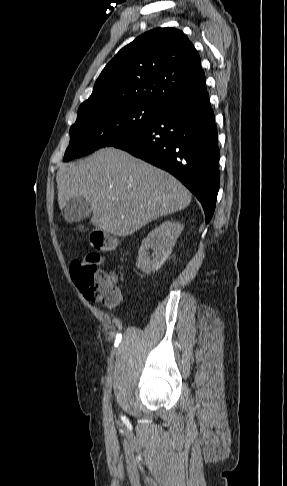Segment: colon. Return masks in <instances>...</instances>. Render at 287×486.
<instances>
[{"mask_svg": "<svg viewBox=\"0 0 287 486\" xmlns=\"http://www.w3.org/2000/svg\"><path fill=\"white\" fill-rule=\"evenodd\" d=\"M90 243L96 252L71 264L72 280L88 300L115 306L121 301V291L112 275L102 269L98 252L113 250L116 239L100 229H94L90 233Z\"/></svg>", "mask_w": 287, "mask_h": 486, "instance_id": "obj_1", "label": "colon"}]
</instances>
